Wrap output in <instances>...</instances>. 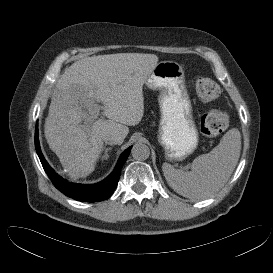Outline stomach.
Wrapping results in <instances>:
<instances>
[{
  "mask_svg": "<svg viewBox=\"0 0 273 273\" xmlns=\"http://www.w3.org/2000/svg\"><path fill=\"white\" fill-rule=\"evenodd\" d=\"M145 85L159 91L161 119L158 141L166 158L183 160L195 151L199 142L183 67L175 61H161Z\"/></svg>",
  "mask_w": 273,
  "mask_h": 273,
  "instance_id": "obj_1",
  "label": "stomach"
}]
</instances>
